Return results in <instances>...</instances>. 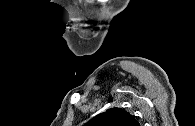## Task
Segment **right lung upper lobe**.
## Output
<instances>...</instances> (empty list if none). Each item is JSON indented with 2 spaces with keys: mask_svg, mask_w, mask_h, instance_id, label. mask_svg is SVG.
<instances>
[{
  "mask_svg": "<svg viewBox=\"0 0 195 126\" xmlns=\"http://www.w3.org/2000/svg\"><path fill=\"white\" fill-rule=\"evenodd\" d=\"M84 126H140L130 113L121 108H111L100 113Z\"/></svg>",
  "mask_w": 195,
  "mask_h": 126,
  "instance_id": "obj_1",
  "label": "right lung upper lobe"
}]
</instances>
